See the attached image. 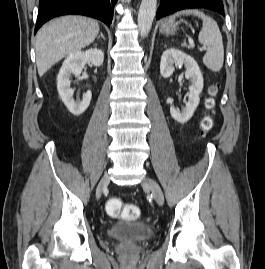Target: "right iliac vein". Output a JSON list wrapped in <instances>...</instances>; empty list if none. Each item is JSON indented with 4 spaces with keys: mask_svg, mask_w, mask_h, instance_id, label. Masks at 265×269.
<instances>
[{
    "mask_svg": "<svg viewBox=\"0 0 265 269\" xmlns=\"http://www.w3.org/2000/svg\"><path fill=\"white\" fill-rule=\"evenodd\" d=\"M109 182H110V178H109L108 174H105L101 178V180H100V182H99V184L97 186V189H96V197L97 198L101 197L103 189L108 186Z\"/></svg>",
    "mask_w": 265,
    "mask_h": 269,
    "instance_id": "obj_1",
    "label": "right iliac vein"
}]
</instances>
